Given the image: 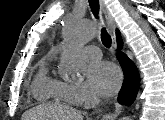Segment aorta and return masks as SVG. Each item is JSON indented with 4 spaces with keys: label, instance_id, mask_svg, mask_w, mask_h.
Here are the masks:
<instances>
[{
    "label": "aorta",
    "instance_id": "1",
    "mask_svg": "<svg viewBox=\"0 0 165 120\" xmlns=\"http://www.w3.org/2000/svg\"><path fill=\"white\" fill-rule=\"evenodd\" d=\"M93 35V28L82 19L71 17L65 22L61 68L66 75H77L85 69L80 49ZM124 120H130V118L127 117Z\"/></svg>",
    "mask_w": 165,
    "mask_h": 120
}]
</instances>
